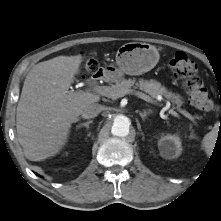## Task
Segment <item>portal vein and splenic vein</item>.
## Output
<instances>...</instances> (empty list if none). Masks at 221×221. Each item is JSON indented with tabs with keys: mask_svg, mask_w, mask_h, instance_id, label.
I'll list each match as a JSON object with an SVG mask.
<instances>
[{
	"mask_svg": "<svg viewBox=\"0 0 221 221\" xmlns=\"http://www.w3.org/2000/svg\"><path fill=\"white\" fill-rule=\"evenodd\" d=\"M93 91L101 94L102 96H106V97H109V98H113V99H116L118 97H123L127 94H134L135 96H137L138 98H141L143 99L144 101L148 102V103H156V101H154L152 98H150L148 95L140 92V91H135L133 89H126V90H122L120 91L119 93H114L112 91V89L109 87V86H95L93 88ZM158 97V96H157ZM158 100H161V98L159 99L158 97ZM164 111H167L172 114L173 116L175 117H178V113L176 111H174L173 109H169V106H165L163 108ZM179 112L181 114H183L185 117H187L188 119H190L191 121H194V117L188 113L187 111L185 110H179Z\"/></svg>",
	"mask_w": 221,
	"mask_h": 221,
	"instance_id": "1",
	"label": "portal vein and splenic vein"
}]
</instances>
